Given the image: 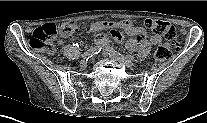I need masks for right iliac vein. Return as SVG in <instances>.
<instances>
[{
	"instance_id": "1",
	"label": "right iliac vein",
	"mask_w": 207,
	"mask_h": 123,
	"mask_svg": "<svg viewBox=\"0 0 207 123\" xmlns=\"http://www.w3.org/2000/svg\"><path fill=\"white\" fill-rule=\"evenodd\" d=\"M79 66L81 68H85L87 66V61L86 60H81L80 63H79Z\"/></svg>"
}]
</instances>
